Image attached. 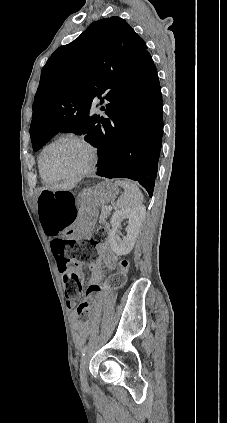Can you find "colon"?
<instances>
[{"label":"colon","mask_w":227,"mask_h":423,"mask_svg":"<svg viewBox=\"0 0 227 423\" xmlns=\"http://www.w3.org/2000/svg\"><path fill=\"white\" fill-rule=\"evenodd\" d=\"M38 211L43 228L48 235L59 236L52 243V251L61 273L65 297L74 300L81 295L84 282L83 266L92 263L96 257L95 244L106 241V230L98 229L94 239L75 241L66 235L76 217L74 196L66 190H43L38 198ZM128 262L121 260L119 270L111 277L114 287L121 286L126 278ZM99 286L91 285L77 309L80 320H85L97 298Z\"/></svg>","instance_id":"1"}]
</instances>
